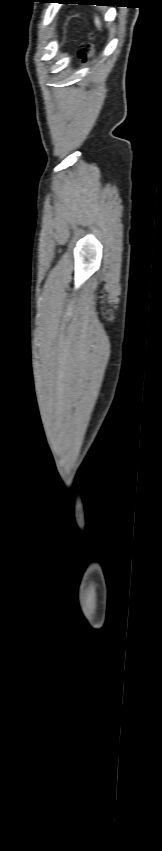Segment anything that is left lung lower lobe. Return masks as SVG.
I'll return each instance as SVG.
<instances>
[{
    "label": "left lung lower lobe",
    "mask_w": 162,
    "mask_h": 851,
    "mask_svg": "<svg viewBox=\"0 0 162 851\" xmlns=\"http://www.w3.org/2000/svg\"><path fill=\"white\" fill-rule=\"evenodd\" d=\"M98 1H101V0H63V1L59 2V3H65V4H66V3H68V4H69V3H77V4H79V5H86V4H88L89 2H98ZM98 5H99V4H98Z\"/></svg>",
    "instance_id": "left-lung-lower-lobe-1"
}]
</instances>
